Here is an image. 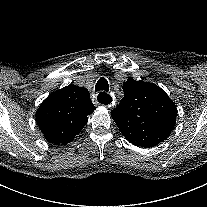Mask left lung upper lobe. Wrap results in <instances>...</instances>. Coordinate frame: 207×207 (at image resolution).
<instances>
[{"label":"left lung upper lobe","mask_w":207,"mask_h":207,"mask_svg":"<svg viewBox=\"0 0 207 207\" xmlns=\"http://www.w3.org/2000/svg\"><path fill=\"white\" fill-rule=\"evenodd\" d=\"M125 96L111 116L126 139L138 147H153L165 140L176 122L177 108L159 86L128 78Z\"/></svg>","instance_id":"5c2ea615"}]
</instances>
